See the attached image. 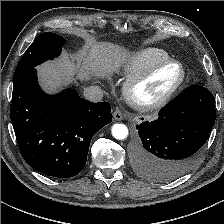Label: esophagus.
I'll return each mask as SVG.
<instances>
[{
    "instance_id": "obj_1",
    "label": "esophagus",
    "mask_w": 224,
    "mask_h": 224,
    "mask_svg": "<svg viewBox=\"0 0 224 224\" xmlns=\"http://www.w3.org/2000/svg\"><path fill=\"white\" fill-rule=\"evenodd\" d=\"M113 116L116 121H121L123 119V114L120 110H115Z\"/></svg>"
}]
</instances>
